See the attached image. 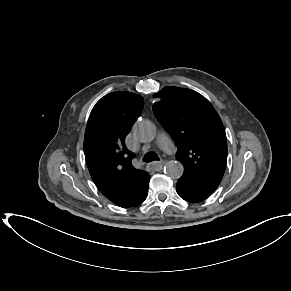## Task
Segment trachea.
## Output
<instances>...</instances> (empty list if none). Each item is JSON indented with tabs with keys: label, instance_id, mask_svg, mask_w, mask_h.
Listing matches in <instances>:
<instances>
[{
	"label": "trachea",
	"instance_id": "obj_1",
	"mask_svg": "<svg viewBox=\"0 0 291 291\" xmlns=\"http://www.w3.org/2000/svg\"><path fill=\"white\" fill-rule=\"evenodd\" d=\"M156 160H159V157L154 152L147 153L143 158V161L147 162V163L152 162V161H156Z\"/></svg>",
	"mask_w": 291,
	"mask_h": 291
}]
</instances>
